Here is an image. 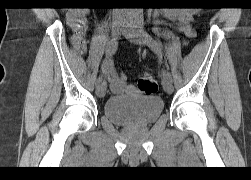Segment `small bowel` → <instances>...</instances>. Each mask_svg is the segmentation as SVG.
<instances>
[{"mask_svg": "<svg viewBox=\"0 0 251 180\" xmlns=\"http://www.w3.org/2000/svg\"><path fill=\"white\" fill-rule=\"evenodd\" d=\"M88 14L89 13L86 10H73L69 12L67 16V23L72 33L71 43L75 50L81 54L85 53L87 49L86 37L89 31ZM165 14L177 21L179 30L186 37L185 43H187V39L195 37V32L191 26V21L195 14L194 10L172 9L166 11ZM157 32L163 34L164 36H169V34L161 32L160 29H157ZM102 68L108 78L111 90L113 92H137V90L133 86L127 84L126 77L124 74L112 70L110 60H105Z\"/></svg>", "mask_w": 251, "mask_h": 180, "instance_id": "1", "label": "small bowel"}]
</instances>
